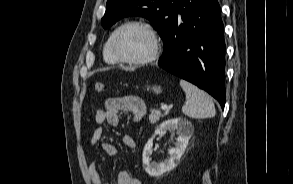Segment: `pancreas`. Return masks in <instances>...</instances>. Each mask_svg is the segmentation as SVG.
Returning a JSON list of instances; mask_svg holds the SVG:
<instances>
[{
	"label": "pancreas",
	"instance_id": "pancreas-1",
	"mask_svg": "<svg viewBox=\"0 0 293 184\" xmlns=\"http://www.w3.org/2000/svg\"><path fill=\"white\" fill-rule=\"evenodd\" d=\"M167 113L161 114L158 109H151L149 115V121L151 124H154L159 121L160 117L166 115Z\"/></svg>",
	"mask_w": 293,
	"mask_h": 184
}]
</instances>
